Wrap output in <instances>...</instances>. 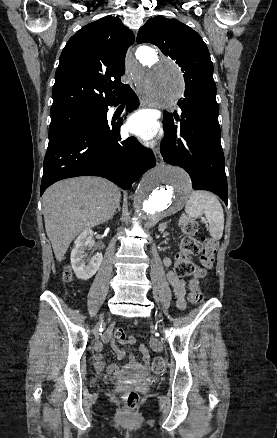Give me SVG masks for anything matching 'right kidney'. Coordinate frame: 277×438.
Returning <instances> with one entry per match:
<instances>
[{"label":"right kidney","mask_w":277,"mask_h":438,"mask_svg":"<svg viewBox=\"0 0 277 438\" xmlns=\"http://www.w3.org/2000/svg\"><path fill=\"white\" fill-rule=\"evenodd\" d=\"M92 240V230H84L74 242L71 252V266L76 278H79V280H90V278L96 274L97 270H99L103 262V256L99 254V252H97L91 260H86L84 256L85 250L90 248L89 244H91ZM86 262H88L87 266Z\"/></svg>","instance_id":"1"}]
</instances>
